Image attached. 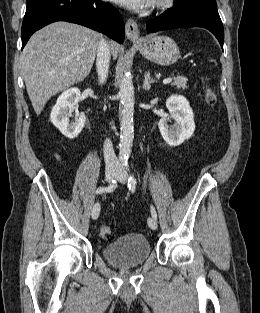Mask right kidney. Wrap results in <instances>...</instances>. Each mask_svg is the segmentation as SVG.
Masks as SVG:
<instances>
[{
  "instance_id": "right-kidney-1",
  "label": "right kidney",
  "mask_w": 260,
  "mask_h": 313,
  "mask_svg": "<svg viewBox=\"0 0 260 313\" xmlns=\"http://www.w3.org/2000/svg\"><path fill=\"white\" fill-rule=\"evenodd\" d=\"M80 90L71 88L64 91L57 99L52 108L50 119L53 125L67 138H76L84 128L86 117L84 114H77L74 121H70L68 111L78 107Z\"/></svg>"
}]
</instances>
